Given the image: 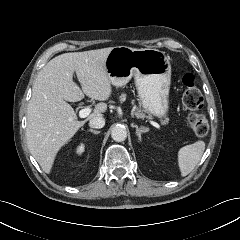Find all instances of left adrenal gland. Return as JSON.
Instances as JSON below:
<instances>
[{"instance_id": "a2214340", "label": "left adrenal gland", "mask_w": 240, "mask_h": 240, "mask_svg": "<svg viewBox=\"0 0 240 240\" xmlns=\"http://www.w3.org/2000/svg\"><path fill=\"white\" fill-rule=\"evenodd\" d=\"M131 126L132 127H134V128H136V135H137V137L139 138V140H141V135L143 134V133H146L147 131H148V129L147 128H145V127H138L137 125H135V124H131Z\"/></svg>"}]
</instances>
